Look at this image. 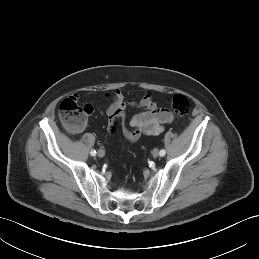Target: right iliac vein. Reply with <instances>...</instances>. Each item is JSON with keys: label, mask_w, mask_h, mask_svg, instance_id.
I'll use <instances>...</instances> for the list:
<instances>
[{"label": "right iliac vein", "mask_w": 259, "mask_h": 259, "mask_svg": "<svg viewBox=\"0 0 259 259\" xmlns=\"http://www.w3.org/2000/svg\"><path fill=\"white\" fill-rule=\"evenodd\" d=\"M97 155H98V157H100V158L104 157V155H105L104 150H102V149L98 150Z\"/></svg>", "instance_id": "1"}]
</instances>
